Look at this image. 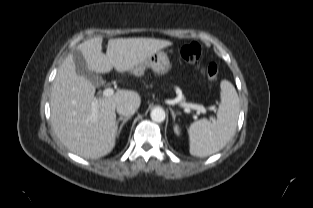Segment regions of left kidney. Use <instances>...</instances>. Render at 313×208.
Wrapping results in <instances>:
<instances>
[{"label":"left kidney","instance_id":"1","mask_svg":"<svg viewBox=\"0 0 313 208\" xmlns=\"http://www.w3.org/2000/svg\"><path fill=\"white\" fill-rule=\"evenodd\" d=\"M174 132L177 134V135H180V128L178 125H175L174 126Z\"/></svg>","mask_w":313,"mask_h":208}]
</instances>
